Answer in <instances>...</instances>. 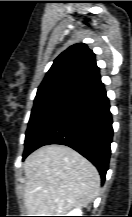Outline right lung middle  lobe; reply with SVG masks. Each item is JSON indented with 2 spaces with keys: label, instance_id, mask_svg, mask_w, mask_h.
Masks as SVG:
<instances>
[{
  "label": "right lung middle lobe",
  "instance_id": "dd1d6c3e",
  "mask_svg": "<svg viewBox=\"0 0 132 217\" xmlns=\"http://www.w3.org/2000/svg\"><path fill=\"white\" fill-rule=\"evenodd\" d=\"M77 97L73 93L64 91L36 95L26 131L25 151L33 145L59 112Z\"/></svg>",
  "mask_w": 132,
  "mask_h": 217
}]
</instances>
